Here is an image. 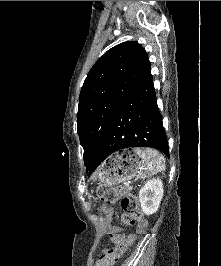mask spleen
Listing matches in <instances>:
<instances>
[{
	"label": "spleen",
	"instance_id": "spleen-1",
	"mask_svg": "<svg viewBox=\"0 0 221 266\" xmlns=\"http://www.w3.org/2000/svg\"><path fill=\"white\" fill-rule=\"evenodd\" d=\"M136 153L141 156L145 166L143 179L156 175L165 170V159L156 150L136 148Z\"/></svg>",
	"mask_w": 221,
	"mask_h": 266
}]
</instances>
